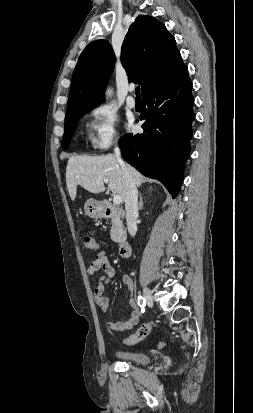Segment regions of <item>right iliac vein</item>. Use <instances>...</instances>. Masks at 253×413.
Here are the masks:
<instances>
[{"label":"right iliac vein","instance_id":"63e3f726","mask_svg":"<svg viewBox=\"0 0 253 413\" xmlns=\"http://www.w3.org/2000/svg\"><path fill=\"white\" fill-rule=\"evenodd\" d=\"M143 295H144V298H145L148 306L152 307L153 306V296H152V293H151L150 289H148L147 287H144Z\"/></svg>","mask_w":253,"mask_h":413}]
</instances>
